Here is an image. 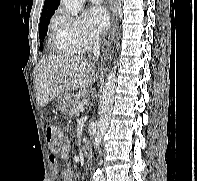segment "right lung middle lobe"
I'll return each instance as SVG.
<instances>
[{"label":"right lung middle lobe","instance_id":"1","mask_svg":"<svg viewBox=\"0 0 197 181\" xmlns=\"http://www.w3.org/2000/svg\"><path fill=\"white\" fill-rule=\"evenodd\" d=\"M52 15L53 14L41 16V19H40V30H39V39L41 41H43L45 36H46L49 20H50ZM40 49L41 50L43 49V44L42 43H40Z\"/></svg>","mask_w":197,"mask_h":181}]
</instances>
